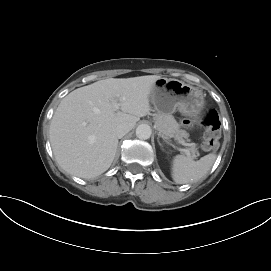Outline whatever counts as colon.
Returning <instances> with one entry per match:
<instances>
[{
  "label": "colon",
  "mask_w": 271,
  "mask_h": 271,
  "mask_svg": "<svg viewBox=\"0 0 271 271\" xmlns=\"http://www.w3.org/2000/svg\"><path fill=\"white\" fill-rule=\"evenodd\" d=\"M184 125H189V121H183ZM205 128L202 148L206 151L216 148L220 137V121L215 110H208L203 118Z\"/></svg>",
  "instance_id": "colon-1"
}]
</instances>
